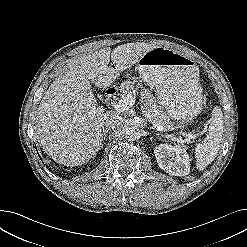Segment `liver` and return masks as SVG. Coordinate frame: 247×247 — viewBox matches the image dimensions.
Here are the masks:
<instances>
[{
    "instance_id": "6515ba94",
    "label": "liver",
    "mask_w": 247,
    "mask_h": 247,
    "mask_svg": "<svg viewBox=\"0 0 247 247\" xmlns=\"http://www.w3.org/2000/svg\"><path fill=\"white\" fill-rule=\"evenodd\" d=\"M154 44L137 42L84 53L72 58L44 93L36 111L35 140L54 161L78 166L101 149L103 106H97L91 82L98 88L111 86L120 73L136 64ZM110 60L114 67L108 66Z\"/></svg>"
}]
</instances>
